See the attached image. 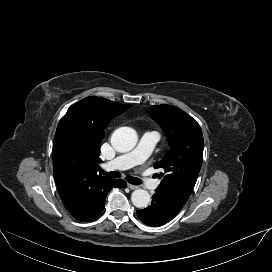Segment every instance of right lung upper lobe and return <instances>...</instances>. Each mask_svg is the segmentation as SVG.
<instances>
[{"instance_id":"1","label":"right lung upper lobe","mask_w":272,"mask_h":272,"mask_svg":"<svg viewBox=\"0 0 272 272\" xmlns=\"http://www.w3.org/2000/svg\"><path fill=\"white\" fill-rule=\"evenodd\" d=\"M130 108L102 97H86L60 120L53 149V174L62 200L79 221H89L112 189L97 175L100 144L110 120Z\"/></svg>"}]
</instances>
